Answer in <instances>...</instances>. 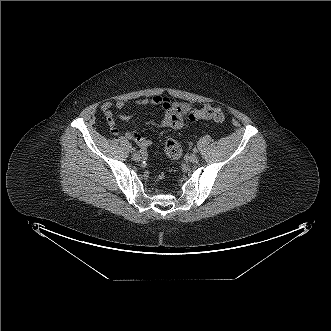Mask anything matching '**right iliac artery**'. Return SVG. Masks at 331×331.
<instances>
[{
    "mask_svg": "<svg viewBox=\"0 0 331 331\" xmlns=\"http://www.w3.org/2000/svg\"><path fill=\"white\" fill-rule=\"evenodd\" d=\"M132 152H133V153H136V152H137V149H136V148H133V149H132Z\"/></svg>",
    "mask_w": 331,
    "mask_h": 331,
    "instance_id": "82829eb1",
    "label": "right iliac artery"
}]
</instances>
